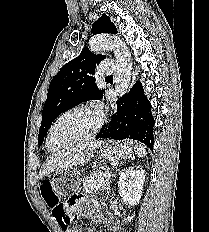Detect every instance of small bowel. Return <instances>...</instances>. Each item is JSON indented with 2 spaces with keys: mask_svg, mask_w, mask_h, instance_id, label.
Wrapping results in <instances>:
<instances>
[{
  "mask_svg": "<svg viewBox=\"0 0 209 232\" xmlns=\"http://www.w3.org/2000/svg\"><path fill=\"white\" fill-rule=\"evenodd\" d=\"M83 199V190H74V194H69L68 198L64 202V209H66V213H81L86 214L87 208L85 206H81V200ZM95 206L98 207L99 204L95 203ZM65 232H81L77 228L63 229ZM116 229L114 228V231Z\"/></svg>",
  "mask_w": 209,
  "mask_h": 232,
  "instance_id": "c3829d8e",
  "label": "small bowel"
}]
</instances>
